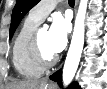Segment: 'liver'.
Instances as JSON below:
<instances>
[{
  "label": "liver",
  "mask_w": 107,
  "mask_h": 89,
  "mask_svg": "<svg viewBox=\"0 0 107 89\" xmlns=\"http://www.w3.org/2000/svg\"><path fill=\"white\" fill-rule=\"evenodd\" d=\"M45 85L46 81L26 79L14 81L11 85H9L8 89H43Z\"/></svg>",
  "instance_id": "6515ba94"
}]
</instances>
